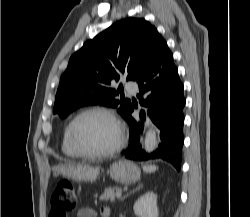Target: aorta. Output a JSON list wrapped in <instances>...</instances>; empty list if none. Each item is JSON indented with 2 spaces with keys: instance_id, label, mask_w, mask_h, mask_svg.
<instances>
[{
  "instance_id": "762f6f07",
  "label": "aorta",
  "mask_w": 250,
  "mask_h": 217,
  "mask_svg": "<svg viewBox=\"0 0 250 217\" xmlns=\"http://www.w3.org/2000/svg\"><path fill=\"white\" fill-rule=\"evenodd\" d=\"M157 147V137L153 130L149 129L144 139V149L146 152H153Z\"/></svg>"
}]
</instances>
